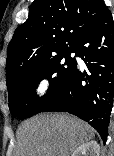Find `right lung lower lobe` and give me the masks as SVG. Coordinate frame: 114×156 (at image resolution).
<instances>
[{"mask_svg":"<svg viewBox=\"0 0 114 156\" xmlns=\"http://www.w3.org/2000/svg\"><path fill=\"white\" fill-rule=\"evenodd\" d=\"M73 50L87 70L76 66L64 90L44 111L76 115L106 142L114 98V22L108 9L76 41Z\"/></svg>","mask_w":114,"mask_h":156,"instance_id":"obj_1","label":"right lung lower lobe"}]
</instances>
